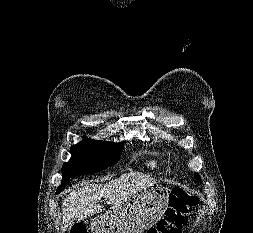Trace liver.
I'll return each mask as SVG.
<instances>
[{"label":"liver","mask_w":253,"mask_h":233,"mask_svg":"<svg viewBox=\"0 0 253 233\" xmlns=\"http://www.w3.org/2000/svg\"><path fill=\"white\" fill-rule=\"evenodd\" d=\"M157 183L156 179L140 172L123 174L105 184L87 183L65 197L62 203L61 231H66L74 221L101 213L104 210L99 204L101 198H104L108 205H117L138 190Z\"/></svg>","instance_id":"1"}]
</instances>
